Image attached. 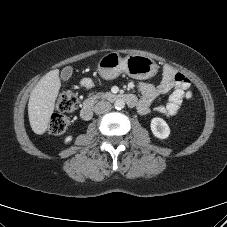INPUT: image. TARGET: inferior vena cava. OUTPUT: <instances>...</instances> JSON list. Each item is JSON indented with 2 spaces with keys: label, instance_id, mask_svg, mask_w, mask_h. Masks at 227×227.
Wrapping results in <instances>:
<instances>
[{
  "label": "inferior vena cava",
  "instance_id": "obj_1",
  "mask_svg": "<svg viewBox=\"0 0 227 227\" xmlns=\"http://www.w3.org/2000/svg\"><path fill=\"white\" fill-rule=\"evenodd\" d=\"M111 108H112V106L108 101H99L94 106V112L98 115L104 114V113L109 112L111 110Z\"/></svg>",
  "mask_w": 227,
  "mask_h": 227
}]
</instances>
